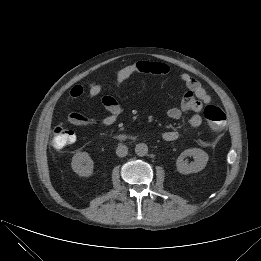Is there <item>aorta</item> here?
Here are the masks:
<instances>
[{"instance_id":"1","label":"aorta","mask_w":261,"mask_h":261,"mask_svg":"<svg viewBox=\"0 0 261 261\" xmlns=\"http://www.w3.org/2000/svg\"><path fill=\"white\" fill-rule=\"evenodd\" d=\"M135 153L138 156H145L148 153V146L145 143H139L135 147Z\"/></svg>"}]
</instances>
